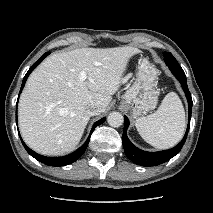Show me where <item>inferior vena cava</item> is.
Wrapping results in <instances>:
<instances>
[{
    "instance_id": "obj_1",
    "label": "inferior vena cava",
    "mask_w": 213,
    "mask_h": 213,
    "mask_svg": "<svg viewBox=\"0 0 213 213\" xmlns=\"http://www.w3.org/2000/svg\"><path fill=\"white\" fill-rule=\"evenodd\" d=\"M102 112V109L101 107H99L97 104H89L86 108V113L89 115V116H95V115H98Z\"/></svg>"
}]
</instances>
